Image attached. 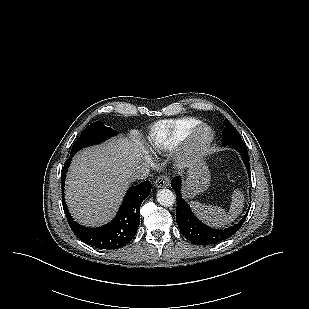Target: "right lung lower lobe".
<instances>
[{"label": "right lung lower lobe", "mask_w": 309, "mask_h": 309, "mask_svg": "<svg viewBox=\"0 0 309 309\" xmlns=\"http://www.w3.org/2000/svg\"><path fill=\"white\" fill-rule=\"evenodd\" d=\"M73 157V154H70ZM69 158L62 169V204L68 223L74 234L83 242L99 249L114 250L128 244L135 236L140 223V205L150 195L151 183L144 181L129 188L116 217L100 228H87L76 223L64 200V181L71 162Z\"/></svg>", "instance_id": "1"}]
</instances>
